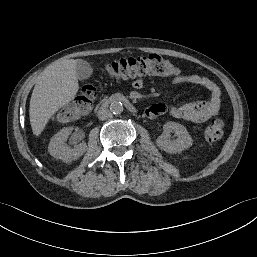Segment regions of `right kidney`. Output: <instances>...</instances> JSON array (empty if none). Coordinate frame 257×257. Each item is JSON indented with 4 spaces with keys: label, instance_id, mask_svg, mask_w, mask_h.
Listing matches in <instances>:
<instances>
[{
    "label": "right kidney",
    "instance_id": "ca27d5eb",
    "mask_svg": "<svg viewBox=\"0 0 257 257\" xmlns=\"http://www.w3.org/2000/svg\"><path fill=\"white\" fill-rule=\"evenodd\" d=\"M72 130L73 128L71 126L65 127L53 136L48 146V152L51 156L61 159L64 162H71L77 160L85 153L87 147L86 144L80 143L74 148H71L65 143L72 133ZM74 141L73 138V142Z\"/></svg>",
    "mask_w": 257,
    "mask_h": 257
}]
</instances>
